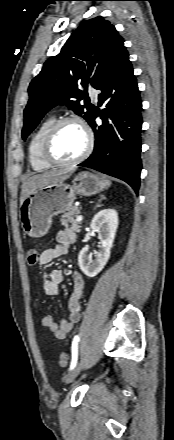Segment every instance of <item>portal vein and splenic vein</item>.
Masks as SVG:
<instances>
[{"mask_svg": "<svg viewBox=\"0 0 174 440\" xmlns=\"http://www.w3.org/2000/svg\"><path fill=\"white\" fill-rule=\"evenodd\" d=\"M83 220V217L81 215L77 216L76 221L81 222Z\"/></svg>", "mask_w": 174, "mask_h": 440, "instance_id": "portal-vein-and-splenic-vein-1", "label": "portal vein and splenic vein"}]
</instances>
